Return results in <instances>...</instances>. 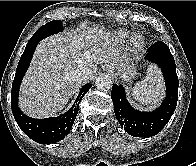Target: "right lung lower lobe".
Here are the masks:
<instances>
[{
	"label": "right lung lower lobe",
	"mask_w": 196,
	"mask_h": 166,
	"mask_svg": "<svg viewBox=\"0 0 196 166\" xmlns=\"http://www.w3.org/2000/svg\"><path fill=\"white\" fill-rule=\"evenodd\" d=\"M38 42L27 44L18 63L11 91V108L20 129L32 140L40 144L55 143L68 135L78 113L79 102L92 87L91 83L81 88L73 106L58 117L34 119L26 116L18 107V93L20 84L29 67Z\"/></svg>",
	"instance_id": "98d812e1"
}]
</instances>
